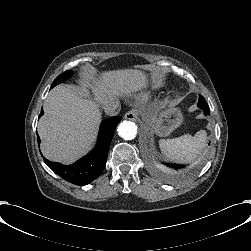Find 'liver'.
Returning <instances> with one entry per match:
<instances>
[{"label":"liver","instance_id":"obj_1","mask_svg":"<svg viewBox=\"0 0 251 251\" xmlns=\"http://www.w3.org/2000/svg\"><path fill=\"white\" fill-rule=\"evenodd\" d=\"M82 87L72 84L55 86L44 102V115L37 132L45 158L71 165L86 156L95 146L102 114L100 109L111 101L120 102L148 89H157L152 77L140 68H120L81 75ZM91 97L82 98L81 91Z\"/></svg>","mask_w":251,"mask_h":251}]
</instances>
